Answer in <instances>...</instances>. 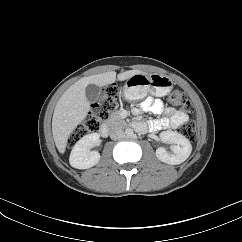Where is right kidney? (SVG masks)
Instances as JSON below:
<instances>
[{
	"instance_id": "right-kidney-1",
	"label": "right kidney",
	"mask_w": 242,
	"mask_h": 242,
	"mask_svg": "<svg viewBox=\"0 0 242 242\" xmlns=\"http://www.w3.org/2000/svg\"><path fill=\"white\" fill-rule=\"evenodd\" d=\"M100 135L91 133L83 136L73 147L69 162L77 169H87L96 165L100 160V154L90 149L99 143Z\"/></svg>"
}]
</instances>
